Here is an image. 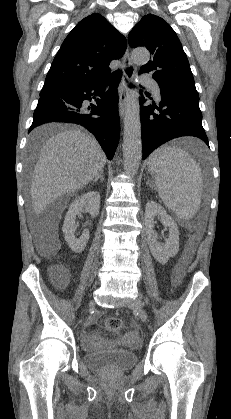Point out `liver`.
Instances as JSON below:
<instances>
[{
  "mask_svg": "<svg viewBox=\"0 0 231 419\" xmlns=\"http://www.w3.org/2000/svg\"><path fill=\"white\" fill-rule=\"evenodd\" d=\"M49 128H36L31 140H40ZM106 160L95 138L80 130H64L51 137L40 149L33 171L30 195L34 213L39 215L55 199L82 189L103 171Z\"/></svg>",
  "mask_w": 231,
  "mask_h": 419,
  "instance_id": "liver-1",
  "label": "liver"
}]
</instances>
